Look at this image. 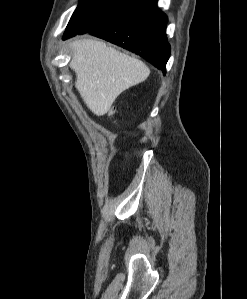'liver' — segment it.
<instances>
[{"mask_svg":"<svg viewBox=\"0 0 247 299\" xmlns=\"http://www.w3.org/2000/svg\"><path fill=\"white\" fill-rule=\"evenodd\" d=\"M70 47L75 87L96 116L106 114L123 91L145 81L150 74L142 61L103 41L80 39L70 43Z\"/></svg>","mask_w":247,"mask_h":299,"instance_id":"6515ba94","label":"liver"}]
</instances>
